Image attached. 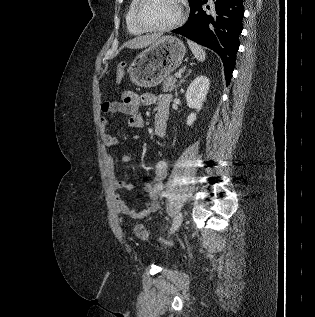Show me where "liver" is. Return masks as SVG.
Returning <instances> with one entry per match:
<instances>
[{
    "instance_id": "liver-1",
    "label": "liver",
    "mask_w": 315,
    "mask_h": 317,
    "mask_svg": "<svg viewBox=\"0 0 315 317\" xmlns=\"http://www.w3.org/2000/svg\"><path fill=\"white\" fill-rule=\"evenodd\" d=\"M161 35L154 34V35H146V36H139L127 43V47L130 49H139L147 47L153 44L157 39H159Z\"/></svg>"
}]
</instances>
